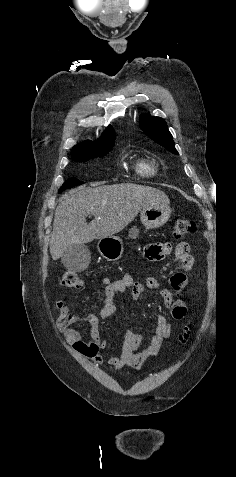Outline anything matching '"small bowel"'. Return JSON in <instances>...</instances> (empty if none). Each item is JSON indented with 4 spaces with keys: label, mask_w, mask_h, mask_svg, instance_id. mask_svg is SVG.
Instances as JSON below:
<instances>
[{
    "label": "small bowel",
    "mask_w": 236,
    "mask_h": 477,
    "mask_svg": "<svg viewBox=\"0 0 236 477\" xmlns=\"http://www.w3.org/2000/svg\"><path fill=\"white\" fill-rule=\"evenodd\" d=\"M177 248H186L188 253L176 254V258L181 262L182 272L172 276V291L162 286L156 277H146L143 282L136 281L130 274H125L118 279L105 277L102 279L104 288L103 306L100 310V318H108L115 314L117 306L115 302L116 294L130 292L133 299L137 300L144 288L157 291L165 307L171 311V316L177 321L186 318L188 306L180 298L187 285L185 272L190 271L194 265V258L190 254V246L186 242H181ZM172 245L170 243H154L145 249V257L151 261H160L170 255ZM59 310L57 318V328L64 333L67 342L73 349L92 359L96 364L106 361L115 371L126 366L141 367L150 359L159 355L161 346L165 339L172 334V326L163 315H158L154 333L151 336L149 346L141 353L135 355V348L143 341L144 335L132 330H126L120 349L117 354L104 356L102 351L107 347V342L99 335L98 317L92 313H73L63 299L56 301ZM85 320L91 325L89 340H84L81 333L74 327V323Z\"/></svg>",
    "instance_id": "small-bowel-1"
}]
</instances>
